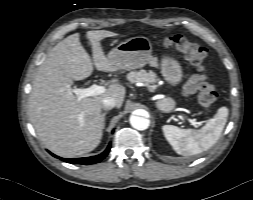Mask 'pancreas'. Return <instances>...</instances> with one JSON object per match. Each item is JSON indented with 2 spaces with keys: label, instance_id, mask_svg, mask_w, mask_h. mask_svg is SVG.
Masks as SVG:
<instances>
[{
  "label": "pancreas",
  "instance_id": "obj_1",
  "mask_svg": "<svg viewBox=\"0 0 253 200\" xmlns=\"http://www.w3.org/2000/svg\"><path fill=\"white\" fill-rule=\"evenodd\" d=\"M127 79L131 83H144L145 85L149 86V90L151 92L155 91L156 85L154 84L158 81L156 73L152 71L146 72L145 70L130 72L127 75Z\"/></svg>",
  "mask_w": 253,
  "mask_h": 200
}]
</instances>
